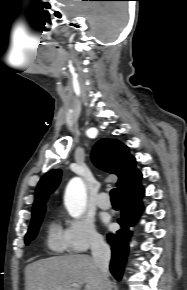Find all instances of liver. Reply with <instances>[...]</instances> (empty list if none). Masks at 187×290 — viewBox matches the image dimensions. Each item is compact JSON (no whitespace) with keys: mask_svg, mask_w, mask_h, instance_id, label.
Masks as SVG:
<instances>
[{"mask_svg":"<svg viewBox=\"0 0 187 290\" xmlns=\"http://www.w3.org/2000/svg\"><path fill=\"white\" fill-rule=\"evenodd\" d=\"M83 285L84 290H111L112 286L88 255L40 259L25 268V290H81Z\"/></svg>","mask_w":187,"mask_h":290,"instance_id":"1","label":"liver"}]
</instances>
